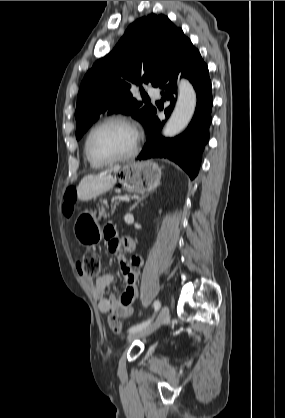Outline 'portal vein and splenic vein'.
<instances>
[{
  "label": "portal vein and splenic vein",
  "instance_id": "portal-vein-and-splenic-vein-1",
  "mask_svg": "<svg viewBox=\"0 0 285 418\" xmlns=\"http://www.w3.org/2000/svg\"><path fill=\"white\" fill-rule=\"evenodd\" d=\"M119 200L121 201H129L130 199L127 197H118Z\"/></svg>",
  "mask_w": 285,
  "mask_h": 418
}]
</instances>
